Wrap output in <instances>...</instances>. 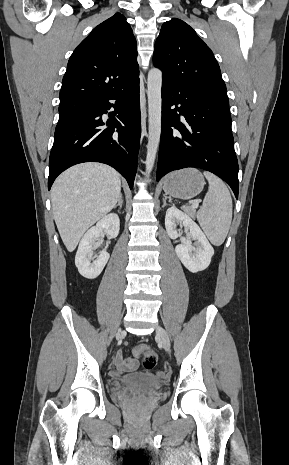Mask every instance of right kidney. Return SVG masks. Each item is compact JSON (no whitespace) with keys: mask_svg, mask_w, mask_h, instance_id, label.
Returning <instances> with one entry per match:
<instances>
[{"mask_svg":"<svg viewBox=\"0 0 289 465\" xmlns=\"http://www.w3.org/2000/svg\"><path fill=\"white\" fill-rule=\"evenodd\" d=\"M119 229L120 219L117 214L111 213L101 218L96 226H93L84 234L75 256V265L83 277L95 279L100 275L110 255L103 250L94 260L93 251L96 249V240L103 232L115 238L119 234Z\"/></svg>","mask_w":289,"mask_h":465,"instance_id":"ca27d5eb","label":"right kidney"}]
</instances>
